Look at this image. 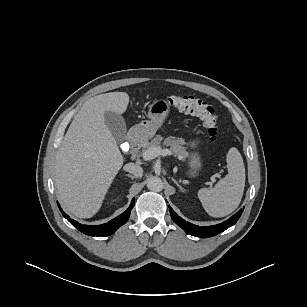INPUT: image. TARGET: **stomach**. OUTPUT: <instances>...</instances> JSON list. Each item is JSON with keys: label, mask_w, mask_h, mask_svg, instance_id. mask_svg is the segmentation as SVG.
Returning <instances> with one entry per match:
<instances>
[{"label": "stomach", "mask_w": 307, "mask_h": 307, "mask_svg": "<svg viewBox=\"0 0 307 307\" xmlns=\"http://www.w3.org/2000/svg\"><path fill=\"white\" fill-rule=\"evenodd\" d=\"M169 107L170 105L166 100H158L150 105L148 111L149 120H143L133 128L140 140H148L155 135L158 128L164 123ZM191 145L195 146L196 142H192ZM190 165L194 169L200 167V157L196 153L191 155Z\"/></svg>", "instance_id": "obj_1"}]
</instances>
